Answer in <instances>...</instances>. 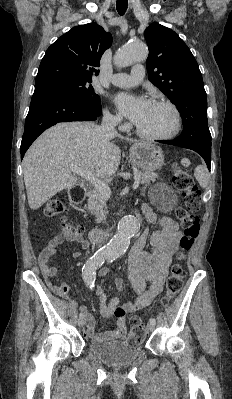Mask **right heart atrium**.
Listing matches in <instances>:
<instances>
[{
  "instance_id": "right-heart-atrium-1",
  "label": "right heart atrium",
  "mask_w": 232,
  "mask_h": 399,
  "mask_svg": "<svg viewBox=\"0 0 232 399\" xmlns=\"http://www.w3.org/2000/svg\"><path fill=\"white\" fill-rule=\"evenodd\" d=\"M105 118H106V121H107V122H118L119 124H120V122H121V119H120L119 116L113 115V114H111V113H109V112H106Z\"/></svg>"
}]
</instances>
